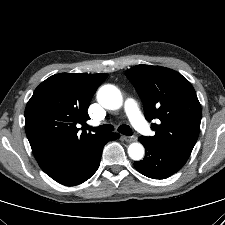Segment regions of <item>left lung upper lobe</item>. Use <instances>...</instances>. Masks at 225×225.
Returning <instances> with one entry per match:
<instances>
[{
  "label": "left lung upper lobe",
  "mask_w": 225,
  "mask_h": 225,
  "mask_svg": "<svg viewBox=\"0 0 225 225\" xmlns=\"http://www.w3.org/2000/svg\"><path fill=\"white\" fill-rule=\"evenodd\" d=\"M144 105L153 137L145 140L189 158L198 139L201 106L190 82L180 73L165 67L137 65L126 72Z\"/></svg>",
  "instance_id": "obj_1"
}]
</instances>
